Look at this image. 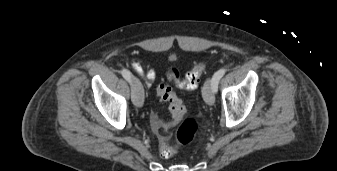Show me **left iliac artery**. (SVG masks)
<instances>
[{
    "label": "left iliac artery",
    "instance_id": "1",
    "mask_svg": "<svg viewBox=\"0 0 337 171\" xmlns=\"http://www.w3.org/2000/svg\"><path fill=\"white\" fill-rule=\"evenodd\" d=\"M225 73H226L225 68H222L218 70L216 73H214L212 77V85H213L214 92H217L219 80L223 77Z\"/></svg>",
    "mask_w": 337,
    "mask_h": 171
}]
</instances>
